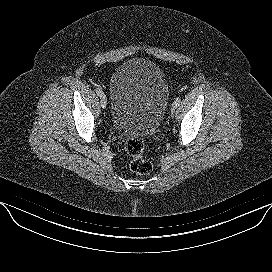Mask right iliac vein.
<instances>
[{"label": "right iliac vein", "mask_w": 272, "mask_h": 272, "mask_svg": "<svg viewBox=\"0 0 272 272\" xmlns=\"http://www.w3.org/2000/svg\"><path fill=\"white\" fill-rule=\"evenodd\" d=\"M100 103H101V106H102L103 108L106 107V105H107V98L105 97V95H103V96L101 97Z\"/></svg>", "instance_id": "right-iliac-vein-1"}]
</instances>
